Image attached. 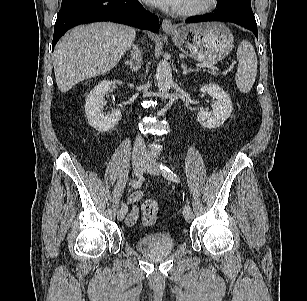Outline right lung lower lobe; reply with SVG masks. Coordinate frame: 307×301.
<instances>
[{"label":"right lung lower lobe","instance_id":"98d812e1","mask_svg":"<svg viewBox=\"0 0 307 301\" xmlns=\"http://www.w3.org/2000/svg\"><path fill=\"white\" fill-rule=\"evenodd\" d=\"M112 21L158 32L159 19L138 0H62L54 27L52 49L70 28L84 23Z\"/></svg>","mask_w":307,"mask_h":301}]
</instances>
